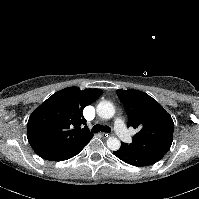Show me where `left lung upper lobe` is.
I'll return each instance as SVG.
<instances>
[{"label":"left lung upper lobe","instance_id":"1","mask_svg":"<svg viewBox=\"0 0 199 199\" xmlns=\"http://www.w3.org/2000/svg\"><path fill=\"white\" fill-rule=\"evenodd\" d=\"M128 115V127L138 128L130 149L160 160L173 141L174 122L151 96L138 90H117Z\"/></svg>","mask_w":199,"mask_h":199}]
</instances>
